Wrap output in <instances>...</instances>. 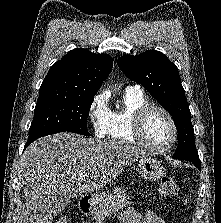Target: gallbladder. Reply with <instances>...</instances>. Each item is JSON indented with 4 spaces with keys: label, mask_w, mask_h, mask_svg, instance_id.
<instances>
[{
    "label": "gallbladder",
    "mask_w": 221,
    "mask_h": 223,
    "mask_svg": "<svg viewBox=\"0 0 221 223\" xmlns=\"http://www.w3.org/2000/svg\"><path fill=\"white\" fill-rule=\"evenodd\" d=\"M61 201H62V205H63V207L61 208V210H63L66 207V205L68 204L69 199L63 197V198H61Z\"/></svg>",
    "instance_id": "gallbladder-1"
}]
</instances>
